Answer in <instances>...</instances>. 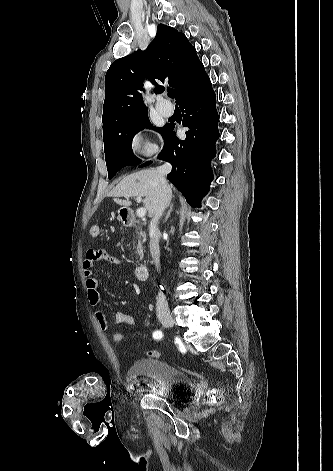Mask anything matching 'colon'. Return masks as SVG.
<instances>
[{
    "mask_svg": "<svg viewBox=\"0 0 333 471\" xmlns=\"http://www.w3.org/2000/svg\"><path fill=\"white\" fill-rule=\"evenodd\" d=\"M99 233H100L99 226L96 225V224L91 225L90 235L92 237H97V236H99ZM112 340H113L114 344L122 345L124 343V340H125V335L120 331H116V332L113 333ZM159 355H160V353L157 350H151V351L148 352L149 357L157 358V357H159ZM209 400L212 404H219L220 402H222L221 392L219 390L211 391L210 394H209Z\"/></svg>",
    "mask_w": 333,
    "mask_h": 471,
    "instance_id": "colon-1",
    "label": "colon"
}]
</instances>
